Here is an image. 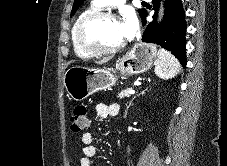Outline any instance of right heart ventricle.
Returning <instances> with one entry per match:
<instances>
[{"instance_id":"right-heart-ventricle-1","label":"right heart ventricle","mask_w":227,"mask_h":166,"mask_svg":"<svg viewBox=\"0 0 227 166\" xmlns=\"http://www.w3.org/2000/svg\"><path fill=\"white\" fill-rule=\"evenodd\" d=\"M100 7L97 6L94 2L91 4V6H89L87 9H85L83 12H81L78 17L76 18L73 27L71 29V43H72V48L73 51L75 52V54L81 58H90L92 56V54L82 50L76 43L75 40V31H76V27L78 25V23L80 22V20L85 17L86 15L95 12V11H99Z\"/></svg>"}]
</instances>
